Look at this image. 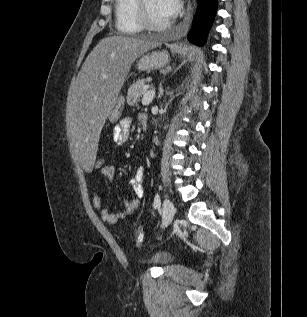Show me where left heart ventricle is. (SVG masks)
Listing matches in <instances>:
<instances>
[{"mask_svg":"<svg viewBox=\"0 0 307 317\" xmlns=\"http://www.w3.org/2000/svg\"><path fill=\"white\" fill-rule=\"evenodd\" d=\"M146 6L150 18L156 23H165L169 20L160 8L158 0H146Z\"/></svg>","mask_w":307,"mask_h":317,"instance_id":"1","label":"left heart ventricle"}]
</instances>
